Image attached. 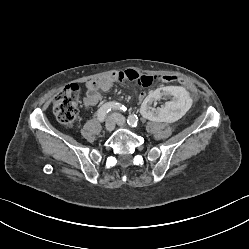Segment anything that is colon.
<instances>
[{
	"label": "colon",
	"mask_w": 249,
	"mask_h": 249,
	"mask_svg": "<svg viewBox=\"0 0 249 249\" xmlns=\"http://www.w3.org/2000/svg\"><path fill=\"white\" fill-rule=\"evenodd\" d=\"M131 81V80H130ZM155 81H161L162 83H177V76H161L150 77L140 76V78L134 82L140 88H147L151 86ZM80 87L78 84L71 83L65 86L59 91L53 100V111L58 121L67 127H72L78 117V98Z\"/></svg>",
	"instance_id": "5ec220e1"
}]
</instances>
